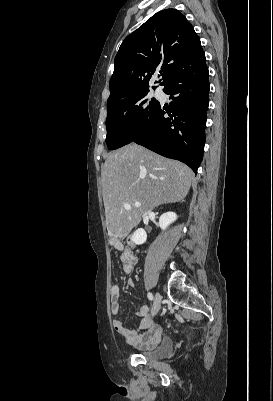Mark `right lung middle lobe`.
<instances>
[{"label":"right lung middle lobe","instance_id":"1","mask_svg":"<svg viewBox=\"0 0 273 401\" xmlns=\"http://www.w3.org/2000/svg\"><path fill=\"white\" fill-rule=\"evenodd\" d=\"M149 90L126 97L108 106L106 143L117 149L132 142L133 138L153 116L160 102L148 96Z\"/></svg>","mask_w":273,"mask_h":401}]
</instances>
